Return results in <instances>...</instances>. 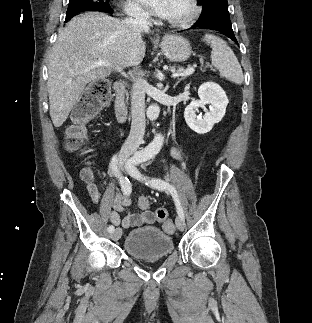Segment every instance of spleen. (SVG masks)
Wrapping results in <instances>:
<instances>
[{"mask_svg":"<svg viewBox=\"0 0 312 323\" xmlns=\"http://www.w3.org/2000/svg\"><path fill=\"white\" fill-rule=\"evenodd\" d=\"M203 40L212 48V66L220 72V76L240 86L244 80V76L233 50L219 36L205 34Z\"/></svg>","mask_w":312,"mask_h":323,"instance_id":"3e777b00","label":"spleen"}]
</instances>
